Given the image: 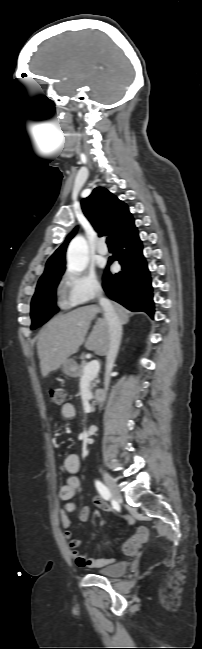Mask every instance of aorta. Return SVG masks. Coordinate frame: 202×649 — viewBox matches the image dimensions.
Segmentation results:
<instances>
[{"label":"aorta","instance_id":"762f6f07","mask_svg":"<svg viewBox=\"0 0 202 649\" xmlns=\"http://www.w3.org/2000/svg\"><path fill=\"white\" fill-rule=\"evenodd\" d=\"M68 268L81 272L88 265V246L82 236L75 237L67 251Z\"/></svg>","mask_w":202,"mask_h":649}]
</instances>
